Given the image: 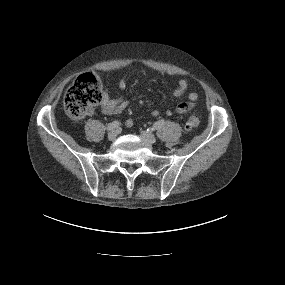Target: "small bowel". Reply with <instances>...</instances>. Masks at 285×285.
Returning <instances> with one entry per match:
<instances>
[{"instance_id": "c3829d8e", "label": "small bowel", "mask_w": 285, "mask_h": 285, "mask_svg": "<svg viewBox=\"0 0 285 285\" xmlns=\"http://www.w3.org/2000/svg\"><path fill=\"white\" fill-rule=\"evenodd\" d=\"M127 87V79L126 77H122L118 83V91L121 92ZM189 84L185 78H179L174 90L175 97H182L186 94L188 90ZM133 99L124 98L122 95H119L115 98L110 96V90L105 89L102 94V99L99 103V107L101 111L107 115H119L123 113ZM198 103V94L194 91H191L187 94V100L179 103L175 111L171 109H167L165 111L167 116H172L174 113L178 115L185 114L186 112L192 110L197 106ZM153 116H158L159 111L153 110L151 112ZM127 126H133L134 122L132 119L127 120Z\"/></svg>"}]
</instances>
